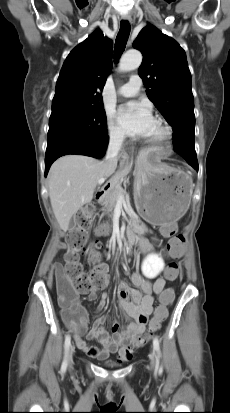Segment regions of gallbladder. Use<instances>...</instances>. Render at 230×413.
<instances>
[{"label":"gallbladder","mask_w":230,"mask_h":413,"mask_svg":"<svg viewBox=\"0 0 230 413\" xmlns=\"http://www.w3.org/2000/svg\"><path fill=\"white\" fill-rule=\"evenodd\" d=\"M76 226V222L74 220H71L69 223V228H74Z\"/></svg>","instance_id":"bac80fb5"}]
</instances>
